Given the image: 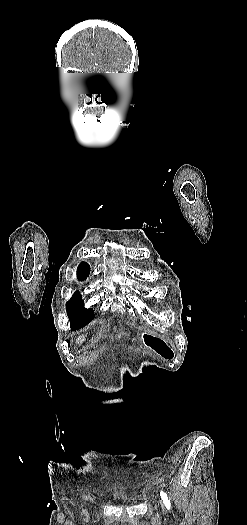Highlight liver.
<instances>
[{"instance_id": "obj_1", "label": "liver", "mask_w": 247, "mask_h": 525, "mask_svg": "<svg viewBox=\"0 0 247 525\" xmlns=\"http://www.w3.org/2000/svg\"><path fill=\"white\" fill-rule=\"evenodd\" d=\"M83 341H85V337H83V335H81V337H78V339H76V343H78V345H81Z\"/></svg>"}]
</instances>
